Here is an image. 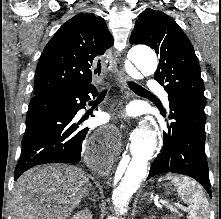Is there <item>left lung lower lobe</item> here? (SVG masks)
Wrapping results in <instances>:
<instances>
[{
    "label": "left lung lower lobe",
    "mask_w": 221,
    "mask_h": 219,
    "mask_svg": "<svg viewBox=\"0 0 221 219\" xmlns=\"http://www.w3.org/2000/svg\"><path fill=\"white\" fill-rule=\"evenodd\" d=\"M169 101L170 118L175 122L164 132V146L152 163L147 179L167 172L187 175L197 180L211 197L204 147V109L179 100Z\"/></svg>",
    "instance_id": "obj_1"
}]
</instances>
